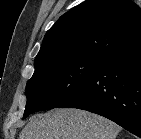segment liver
Returning <instances> with one entry per match:
<instances>
[{
  "label": "liver",
  "mask_w": 141,
  "mask_h": 139,
  "mask_svg": "<svg viewBox=\"0 0 141 139\" xmlns=\"http://www.w3.org/2000/svg\"><path fill=\"white\" fill-rule=\"evenodd\" d=\"M120 130V126L103 116L64 108L31 117L19 139H116Z\"/></svg>",
  "instance_id": "1"
}]
</instances>
